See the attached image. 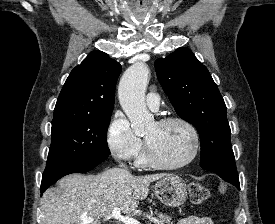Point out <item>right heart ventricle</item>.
Wrapping results in <instances>:
<instances>
[{
    "label": "right heart ventricle",
    "mask_w": 275,
    "mask_h": 224,
    "mask_svg": "<svg viewBox=\"0 0 275 224\" xmlns=\"http://www.w3.org/2000/svg\"><path fill=\"white\" fill-rule=\"evenodd\" d=\"M137 163L139 165H143V166H146L147 165V162H146V159H145V156L144 154H140L137 158Z\"/></svg>",
    "instance_id": "1"
}]
</instances>
